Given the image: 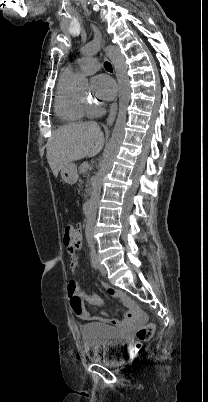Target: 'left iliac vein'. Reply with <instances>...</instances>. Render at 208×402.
<instances>
[{
	"label": "left iliac vein",
	"mask_w": 208,
	"mask_h": 402,
	"mask_svg": "<svg viewBox=\"0 0 208 402\" xmlns=\"http://www.w3.org/2000/svg\"><path fill=\"white\" fill-rule=\"evenodd\" d=\"M96 258H97V261H98V268H99L100 272H102V273L105 272V268H104V266L100 263L99 257L96 256Z\"/></svg>",
	"instance_id": "left-iliac-vein-1"
}]
</instances>
